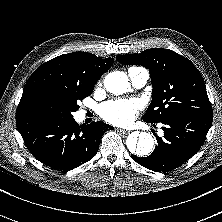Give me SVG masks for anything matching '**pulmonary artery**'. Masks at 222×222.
I'll list each match as a JSON object with an SVG mask.
<instances>
[{"label": "pulmonary artery", "instance_id": "pulmonary-artery-1", "mask_svg": "<svg viewBox=\"0 0 222 222\" xmlns=\"http://www.w3.org/2000/svg\"><path fill=\"white\" fill-rule=\"evenodd\" d=\"M128 75L133 86L137 88L143 87L149 78V73L144 68H130L128 70Z\"/></svg>", "mask_w": 222, "mask_h": 222}]
</instances>
